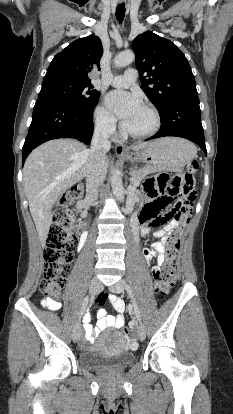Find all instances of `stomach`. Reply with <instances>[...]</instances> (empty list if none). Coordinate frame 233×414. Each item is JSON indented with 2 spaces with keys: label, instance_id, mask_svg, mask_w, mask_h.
<instances>
[{
  "label": "stomach",
  "instance_id": "1",
  "mask_svg": "<svg viewBox=\"0 0 233 414\" xmlns=\"http://www.w3.org/2000/svg\"><path fill=\"white\" fill-rule=\"evenodd\" d=\"M196 155L195 146L181 138H162L150 142L144 149L127 153L125 160L144 162L154 171H179Z\"/></svg>",
  "mask_w": 233,
  "mask_h": 414
}]
</instances>
